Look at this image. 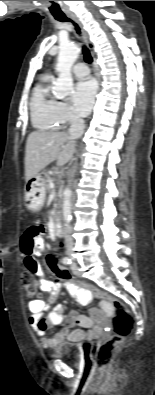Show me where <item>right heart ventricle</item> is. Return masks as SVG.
<instances>
[{
	"label": "right heart ventricle",
	"mask_w": 155,
	"mask_h": 395,
	"mask_svg": "<svg viewBox=\"0 0 155 395\" xmlns=\"http://www.w3.org/2000/svg\"><path fill=\"white\" fill-rule=\"evenodd\" d=\"M51 80L50 75H43L35 85L30 100L31 121L39 130H56L61 127L57 117L58 101L50 88Z\"/></svg>",
	"instance_id": "right-heart-ventricle-1"
}]
</instances>
